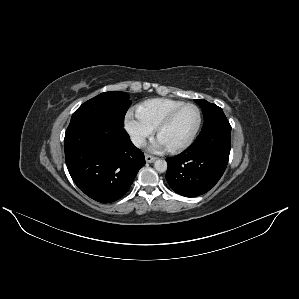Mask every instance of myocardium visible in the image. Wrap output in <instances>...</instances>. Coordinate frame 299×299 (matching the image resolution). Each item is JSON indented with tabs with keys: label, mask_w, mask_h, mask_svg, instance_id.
<instances>
[{
	"label": "myocardium",
	"mask_w": 299,
	"mask_h": 299,
	"mask_svg": "<svg viewBox=\"0 0 299 299\" xmlns=\"http://www.w3.org/2000/svg\"><path fill=\"white\" fill-rule=\"evenodd\" d=\"M185 107H194L197 110L198 113V121L196 124V127L194 129V131L192 132L191 136L183 143L176 145V146H172V147H168L171 151H181L186 149L187 147H189L193 141L195 140L201 125H202V111L201 109L194 103H184L178 107H176L175 109H173L171 112H169L162 120L161 122L158 124V126L156 127V131H157V135L158 137H160V134L162 132V130L167 127L176 117V115Z\"/></svg>",
	"instance_id": "myocardium-1"
}]
</instances>
